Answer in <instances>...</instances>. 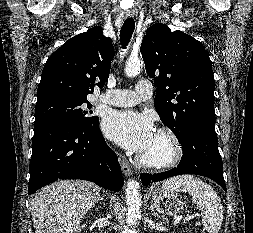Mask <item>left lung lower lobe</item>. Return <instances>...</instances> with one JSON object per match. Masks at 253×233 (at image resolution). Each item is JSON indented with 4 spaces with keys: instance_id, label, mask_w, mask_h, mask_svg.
<instances>
[{
    "instance_id": "left-lung-lower-lobe-1",
    "label": "left lung lower lobe",
    "mask_w": 253,
    "mask_h": 233,
    "mask_svg": "<svg viewBox=\"0 0 253 233\" xmlns=\"http://www.w3.org/2000/svg\"><path fill=\"white\" fill-rule=\"evenodd\" d=\"M183 155L176 168L157 174H141L143 185L181 174H197L217 182L225 191L223 163L218 150L215 127L200 123L190 129L187 136L180 140Z\"/></svg>"
}]
</instances>
